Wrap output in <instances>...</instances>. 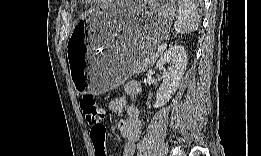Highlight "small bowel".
Listing matches in <instances>:
<instances>
[{
    "label": "small bowel",
    "instance_id": "1",
    "mask_svg": "<svg viewBox=\"0 0 261 156\" xmlns=\"http://www.w3.org/2000/svg\"><path fill=\"white\" fill-rule=\"evenodd\" d=\"M124 91L128 97L136 96L141 92V85L136 81H129L125 84ZM126 107L128 114L127 119H123L118 122V129L122 136L126 139L121 155L133 156L135 154L136 144L139 141L141 132L139 109L136 105H127V100L125 97L113 98L108 104V109L111 112H121ZM106 155V151L104 150V154L101 156Z\"/></svg>",
    "mask_w": 261,
    "mask_h": 156
}]
</instances>
